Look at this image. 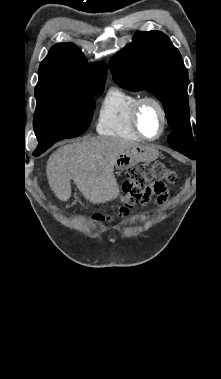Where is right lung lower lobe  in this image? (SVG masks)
<instances>
[{
	"label": "right lung lower lobe",
	"instance_id": "1",
	"mask_svg": "<svg viewBox=\"0 0 221 379\" xmlns=\"http://www.w3.org/2000/svg\"><path fill=\"white\" fill-rule=\"evenodd\" d=\"M46 150H47L46 148H43V149H36V150L34 151V155H35V156H38V155H40L41 153L45 152Z\"/></svg>",
	"mask_w": 221,
	"mask_h": 379
}]
</instances>
